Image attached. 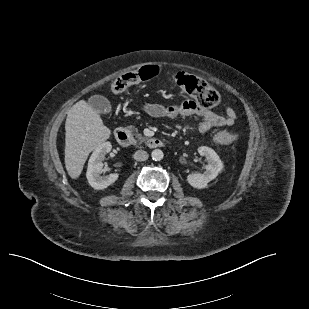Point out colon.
Returning a JSON list of instances; mask_svg holds the SVG:
<instances>
[{"label": "colon", "instance_id": "1", "mask_svg": "<svg viewBox=\"0 0 309 309\" xmlns=\"http://www.w3.org/2000/svg\"><path fill=\"white\" fill-rule=\"evenodd\" d=\"M160 72L156 65L144 66L119 76L110 86L113 94H118L133 84L148 81L155 78ZM177 86L186 91L202 107L211 108L219 104L221 97L219 92L205 81L199 80L194 76L183 73L177 74L175 78ZM238 138L234 133H222L217 139L222 143H231Z\"/></svg>", "mask_w": 309, "mask_h": 309}]
</instances>
